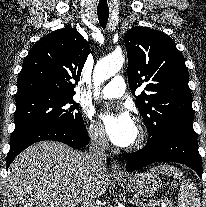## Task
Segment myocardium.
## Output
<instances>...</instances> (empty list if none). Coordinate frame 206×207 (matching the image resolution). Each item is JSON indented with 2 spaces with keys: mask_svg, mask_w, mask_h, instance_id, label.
I'll return each instance as SVG.
<instances>
[{
  "mask_svg": "<svg viewBox=\"0 0 206 207\" xmlns=\"http://www.w3.org/2000/svg\"><path fill=\"white\" fill-rule=\"evenodd\" d=\"M136 128H137V136L135 141H133V144L130 147V149L132 150L141 148L148 139V130L142 123L139 122Z\"/></svg>",
  "mask_w": 206,
  "mask_h": 207,
  "instance_id": "f54148a6",
  "label": "myocardium"
}]
</instances>
